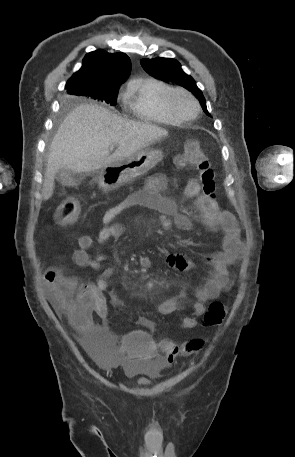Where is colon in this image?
I'll return each mask as SVG.
<instances>
[{
  "label": "colon",
  "mask_w": 295,
  "mask_h": 457,
  "mask_svg": "<svg viewBox=\"0 0 295 457\" xmlns=\"http://www.w3.org/2000/svg\"><path fill=\"white\" fill-rule=\"evenodd\" d=\"M176 165L180 168L192 167L199 174L202 193L215 200V175L206 153L195 139L186 141L183 152L177 157ZM80 213V206L74 199H67L57 209L56 219L61 225L75 222ZM55 280V294L60 307L72 319L82 317L86 312L88 300L85 286L66 277L59 270L51 269ZM226 315L225 306L218 301L212 302L204 314L205 324L220 325ZM151 330H128L122 334V341L117 345V356L124 362L148 363L162 359L166 363L182 360L183 356L192 355L203 345V340L195 338L178 341V344L166 342L160 348L157 341H151Z\"/></svg>",
  "instance_id": "colon-1"
}]
</instances>
